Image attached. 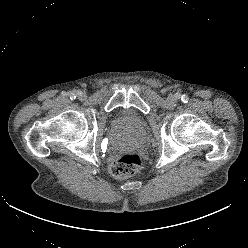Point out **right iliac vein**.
<instances>
[{
    "label": "right iliac vein",
    "instance_id": "63e3f726",
    "mask_svg": "<svg viewBox=\"0 0 248 248\" xmlns=\"http://www.w3.org/2000/svg\"><path fill=\"white\" fill-rule=\"evenodd\" d=\"M78 95L81 99H84L86 97L85 93L83 92H79Z\"/></svg>",
    "mask_w": 248,
    "mask_h": 248
}]
</instances>
